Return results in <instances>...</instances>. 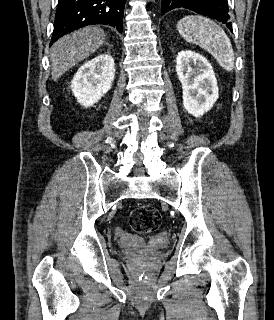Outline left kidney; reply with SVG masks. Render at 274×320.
<instances>
[{"label":"left kidney","mask_w":274,"mask_h":320,"mask_svg":"<svg viewBox=\"0 0 274 320\" xmlns=\"http://www.w3.org/2000/svg\"><path fill=\"white\" fill-rule=\"evenodd\" d=\"M176 72L182 84L186 112L201 118L219 98L217 80L210 62L201 54L183 50L178 52L176 58Z\"/></svg>","instance_id":"1"}]
</instances>
